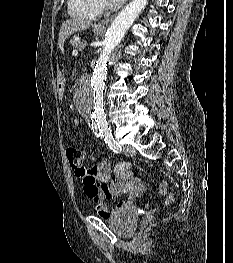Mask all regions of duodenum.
I'll return each mask as SVG.
<instances>
[{"mask_svg": "<svg viewBox=\"0 0 233 263\" xmlns=\"http://www.w3.org/2000/svg\"><path fill=\"white\" fill-rule=\"evenodd\" d=\"M81 80L83 81V82H85L86 80H87V75H82V77H81Z\"/></svg>", "mask_w": 233, "mask_h": 263, "instance_id": "410a0bca", "label": "duodenum"}]
</instances>
